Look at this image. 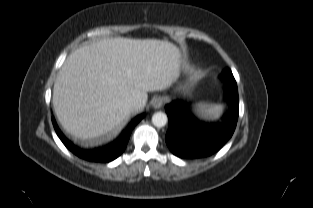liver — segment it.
I'll return each instance as SVG.
<instances>
[{"label":"liver","instance_id":"liver-1","mask_svg":"<svg viewBox=\"0 0 313 208\" xmlns=\"http://www.w3.org/2000/svg\"><path fill=\"white\" fill-rule=\"evenodd\" d=\"M181 52L166 40L103 39L72 52L60 69L53 90L55 114L74 138L95 145L118 135L129 113L147 103V92L168 89L178 76Z\"/></svg>","mask_w":313,"mask_h":208}]
</instances>
